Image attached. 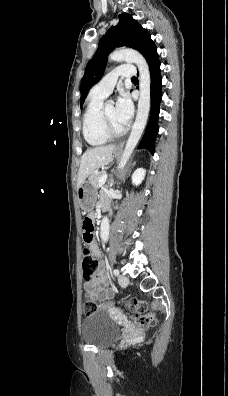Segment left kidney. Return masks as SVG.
<instances>
[{"mask_svg": "<svg viewBox=\"0 0 228 396\" xmlns=\"http://www.w3.org/2000/svg\"><path fill=\"white\" fill-rule=\"evenodd\" d=\"M146 170L143 168H137L132 174L133 184L139 185L145 177Z\"/></svg>", "mask_w": 228, "mask_h": 396, "instance_id": "left-kidney-1", "label": "left kidney"}]
</instances>
